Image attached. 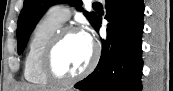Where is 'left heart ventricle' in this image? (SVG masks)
<instances>
[{
	"label": "left heart ventricle",
	"instance_id": "obj_1",
	"mask_svg": "<svg viewBox=\"0 0 173 91\" xmlns=\"http://www.w3.org/2000/svg\"><path fill=\"white\" fill-rule=\"evenodd\" d=\"M92 47L83 34L72 33L58 45L53 57V69L60 76L81 72L90 62Z\"/></svg>",
	"mask_w": 173,
	"mask_h": 91
}]
</instances>
